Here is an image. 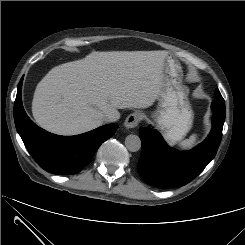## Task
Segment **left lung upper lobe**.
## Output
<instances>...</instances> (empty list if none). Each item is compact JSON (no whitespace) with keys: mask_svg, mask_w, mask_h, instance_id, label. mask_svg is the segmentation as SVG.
I'll use <instances>...</instances> for the list:
<instances>
[{"mask_svg":"<svg viewBox=\"0 0 245 245\" xmlns=\"http://www.w3.org/2000/svg\"><path fill=\"white\" fill-rule=\"evenodd\" d=\"M214 101L217 102L215 105L217 106L218 111L225 114V102L218 89H216Z\"/></svg>","mask_w":245,"mask_h":245,"instance_id":"1","label":"left lung upper lobe"}]
</instances>
